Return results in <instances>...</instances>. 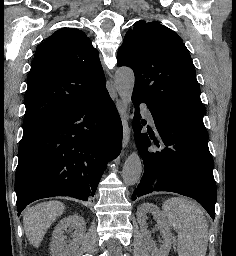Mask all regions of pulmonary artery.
<instances>
[{"instance_id":"e3ab8cb5","label":"pulmonary artery","mask_w":236,"mask_h":256,"mask_svg":"<svg viewBox=\"0 0 236 256\" xmlns=\"http://www.w3.org/2000/svg\"><path fill=\"white\" fill-rule=\"evenodd\" d=\"M141 111L142 113L145 115V117L151 122L153 123V117H152V114L149 110V108L147 107L146 104H142L141 105Z\"/></svg>"}]
</instances>
